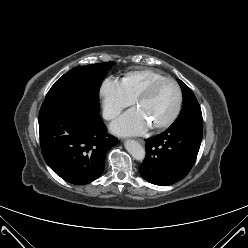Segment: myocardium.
<instances>
[{
    "label": "myocardium",
    "mask_w": 248,
    "mask_h": 248,
    "mask_svg": "<svg viewBox=\"0 0 248 248\" xmlns=\"http://www.w3.org/2000/svg\"><path fill=\"white\" fill-rule=\"evenodd\" d=\"M163 82H170L175 85L177 89V93H178V99H177L175 110L166 120L159 122V123L152 124V126L157 129L165 128L171 125L178 118L181 112L182 104H183V93H182V89L179 83L175 79L169 78V77H164V78L155 80L151 82L144 90H142L134 99V104L138 105V103L147 99L151 95V93L153 92L156 86H158L159 84Z\"/></svg>",
    "instance_id": "myocardium-1"
}]
</instances>
